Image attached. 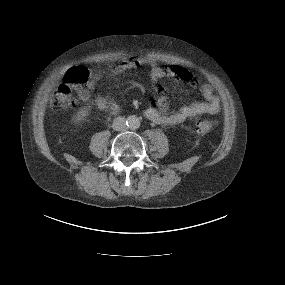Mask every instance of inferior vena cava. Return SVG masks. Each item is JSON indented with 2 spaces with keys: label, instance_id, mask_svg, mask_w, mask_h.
<instances>
[{
  "label": "inferior vena cava",
  "instance_id": "obj_1",
  "mask_svg": "<svg viewBox=\"0 0 285 285\" xmlns=\"http://www.w3.org/2000/svg\"><path fill=\"white\" fill-rule=\"evenodd\" d=\"M112 127L115 131H123L126 127V119L124 117H117L114 119Z\"/></svg>",
  "mask_w": 285,
  "mask_h": 285
}]
</instances>
